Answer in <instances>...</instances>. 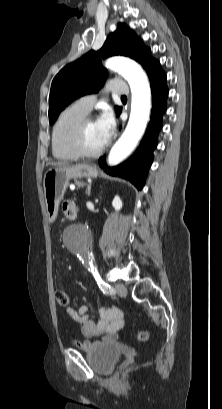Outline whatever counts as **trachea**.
Here are the masks:
<instances>
[{"label": "trachea", "instance_id": "1", "mask_svg": "<svg viewBox=\"0 0 222 409\" xmlns=\"http://www.w3.org/2000/svg\"><path fill=\"white\" fill-rule=\"evenodd\" d=\"M121 99H127V97L126 96H121Z\"/></svg>", "mask_w": 222, "mask_h": 409}]
</instances>
